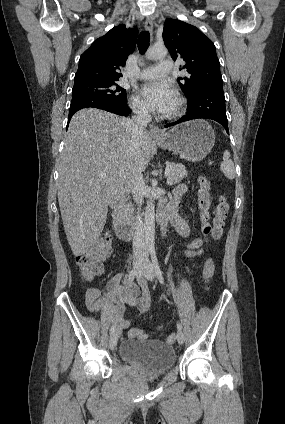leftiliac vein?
I'll return each instance as SVG.
<instances>
[{
    "label": "left iliac vein",
    "mask_w": 285,
    "mask_h": 424,
    "mask_svg": "<svg viewBox=\"0 0 285 424\" xmlns=\"http://www.w3.org/2000/svg\"><path fill=\"white\" fill-rule=\"evenodd\" d=\"M142 272H143V276L147 280H149V281L154 280V278H155L154 267L149 260V256H148L147 252L144 253L143 258H142ZM176 339H177L179 344H183L184 334L181 330L177 331Z\"/></svg>",
    "instance_id": "4c4485c4"
}]
</instances>
